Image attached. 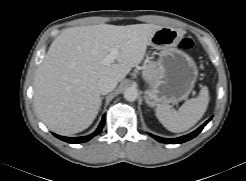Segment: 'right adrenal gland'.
Wrapping results in <instances>:
<instances>
[{"label": "right adrenal gland", "mask_w": 246, "mask_h": 181, "mask_svg": "<svg viewBox=\"0 0 246 181\" xmlns=\"http://www.w3.org/2000/svg\"><path fill=\"white\" fill-rule=\"evenodd\" d=\"M103 98H104V97H101V98H100V106H101V104H102Z\"/></svg>", "instance_id": "2a0ac1e0"}]
</instances>
